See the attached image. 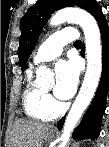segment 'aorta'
Masks as SVG:
<instances>
[{
    "mask_svg": "<svg viewBox=\"0 0 109 147\" xmlns=\"http://www.w3.org/2000/svg\"><path fill=\"white\" fill-rule=\"evenodd\" d=\"M65 22L79 24L84 32L87 69L81 89L76 97L64 124L60 147H65L69 141L77 122L90 104L102 73V46L99 26L94 17L81 8H64L55 13L50 19L52 26ZM36 82L43 85L46 81L53 80V74L45 67L36 70Z\"/></svg>",
    "mask_w": 109,
    "mask_h": 147,
    "instance_id": "aorta-1",
    "label": "aorta"
}]
</instances>
